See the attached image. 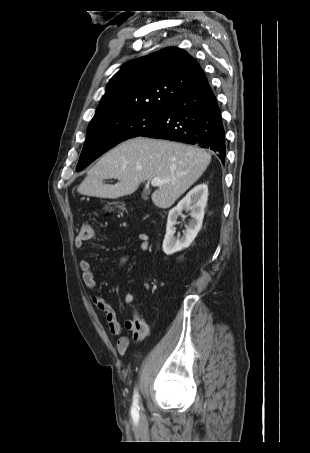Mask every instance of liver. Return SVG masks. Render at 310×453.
<instances>
[{
    "label": "liver",
    "mask_w": 310,
    "mask_h": 453,
    "mask_svg": "<svg viewBox=\"0 0 310 453\" xmlns=\"http://www.w3.org/2000/svg\"><path fill=\"white\" fill-rule=\"evenodd\" d=\"M211 161L204 149L167 140L136 137L109 152L88 171L78 186L82 195L116 199L133 194L140 183L156 177L169 180L151 196L155 206L166 209L203 174ZM117 178L115 185L105 179Z\"/></svg>",
    "instance_id": "1"
}]
</instances>
